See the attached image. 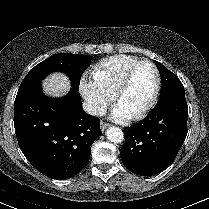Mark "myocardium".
Wrapping results in <instances>:
<instances>
[{"label": "myocardium", "mask_w": 209, "mask_h": 209, "mask_svg": "<svg viewBox=\"0 0 209 209\" xmlns=\"http://www.w3.org/2000/svg\"><path fill=\"white\" fill-rule=\"evenodd\" d=\"M142 64H148L152 67L154 75H155V86L153 90V94L149 100V102L139 111H137L135 114H133L131 117L133 119H141L144 116H146L155 106L159 93H160V87H161V78L160 73L157 68V66L150 60L142 59L135 62L133 65H131L126 73L124 74L123 78L121 79L116 91H115V98L116 101L119 102V99L121 95L124 93V91L128 88V86L131 83L132 77L136 71V69L142 65Z\"/></svg>", "instance_id": "obj_1"}]
</instances>
